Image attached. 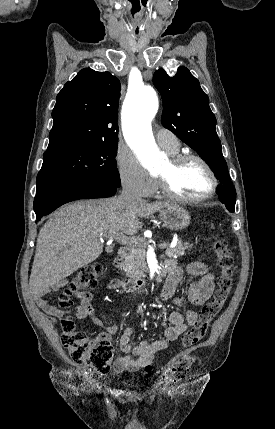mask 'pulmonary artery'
Wrapping results in <instances>:
<instances>
[{"label": "pulmonary artery", "mask_w": 275, "mask_h": 429, "mask_svg": "<svg viewBox=\"0 0 275 429\" xmlns=\"http://www.w3.org/2000/svg\"><path fill=\"white\" fill-rule=\"evenodd\" d=\"M156 138L159 145L168 152H176L179 149L177 137L170 131L160 129L156 132Z\"/></svg>", "instance_id": "obj_1"}]
</instances>
